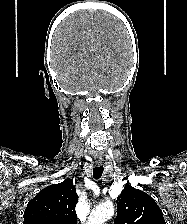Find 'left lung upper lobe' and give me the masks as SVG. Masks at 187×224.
I'll return each instance as SVG.
<instances>
[{
  "label": "left lung upper lobe",
  "mask_w": 187,
  "mask_h": 224,
  "mask_svg": "<svg viewBox=\"0 0 187 224\" xmlns=\"http://www.w3.org/2000/svg\"><path fill=\"white\" fill-rule=\"evenodd\" d=\"M115 224H166L155 200L127 184L117 198Z\"/></svg>",
  "instance_id": "left-lung-upper-lobe-1"
}]
</instances>
